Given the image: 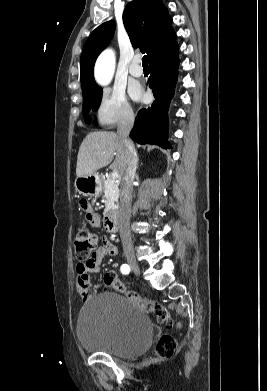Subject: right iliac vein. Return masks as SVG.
<instances>
[{"instance_id": "right-iliac-vein-1", "label": "right iliac vein", "mask_w": 267, "mask_h": 391, "mask_svg": "<svg viewBox=\"0 0 267 391\" xmlns=\"http://www.w3.org/2000/svg\"><path fill=\"white\" fill-rule=\"evenodd\" d=\"M127 262L131 268V270L136 274V275H140V267H139V264L136 260V258L134 257V255H128L127 256Z\"/></svg>"}]
</instances>
